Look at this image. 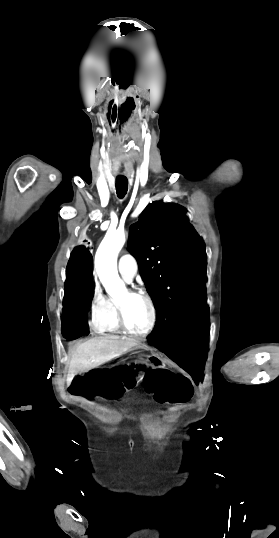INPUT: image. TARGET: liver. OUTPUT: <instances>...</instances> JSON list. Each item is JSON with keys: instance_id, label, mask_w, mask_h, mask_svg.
Instances as JSON below:
<instances>
[{"instance_id": "1", "label": "liver", "mask_w": 279, "mask_h": 538, "mask_svg": "<svg viewBox=\"0 0 279 538\" xmlns=\"http://www.w3.org/2000/svg\"><path fill=\"white\" fill-rule=\"evenodd\" d=\"M139 346L129 338H119V336H98L92 338L76 348L69 364L67 382H72L74 376L79 372H88L92 368H97L121 354H127L131 348Z\"/></svg>"}]
</instances>
